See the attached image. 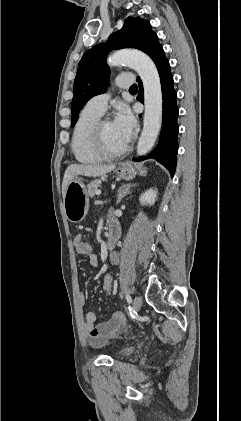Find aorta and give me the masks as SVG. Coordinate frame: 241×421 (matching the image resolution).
Wrapping results in <instances>:
<instances>
[{"label": "aorta", "mask_w": 241, "mask_h": 421, "mask_svg": "<svg viewBox=\"0 0 241 421\" xmlns=\"http://www.w3.org/2000/svg\"><path fill=\"white\" fill-rule=\"evenodd\" d=\"M110 66L127 65L140 76L144 87V126L137 145V155L147 154L154 146L162 123V90L154 62L135 49L116 51L108 58Z\"/></svg>", "instance_id": "aorta-1"}]
</instances>
